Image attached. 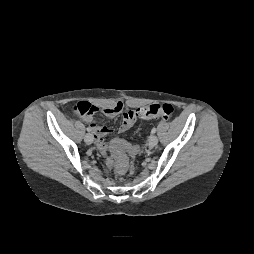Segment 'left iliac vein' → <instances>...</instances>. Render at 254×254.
Here are the masks:
<instances>
[{
  "label": "left iliac vein",
  "instance_id": "4c4485c4",
  "mask_svg": "<svg viewBox=\"0 0 254 254\" xmlns=\"http://www.w3.org/2000/svg\"><path fill=\"white\" fill-rule=\"evenodd\" d=\"M157 143H158L157 136L154 134L150 135V137L148 138V145L153 148L157 145Z\"/></svg>",
  "mask_w": 254,
  "mask_h": 254
}]
</instances>
